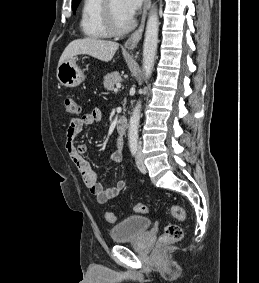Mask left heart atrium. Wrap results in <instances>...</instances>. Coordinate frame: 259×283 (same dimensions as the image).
Segmentation results:
<instances>
[{
  "instance_id": "39dd6f15",
  "label": "left heart atrium",
  "mask_w": 259,
  "mask_h": 283,
  "mask_svg": "<svg viewBox=\"0 0 259 283\" xmlns=\"http://www.w3.org/2000/svg\"><path fill=\"white\" fill-rule=\"evenodd\" d=\"M142 0H121L123 13L131 20L139 9Z\"/></svg>"
}]
</instances>
